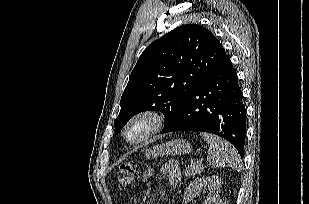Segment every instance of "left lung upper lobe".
Masks as SVG:
<instances>
[{"label": "left lung upper lobe", "mask_w": 309, "mask_h": 204, "mask_svg": "<svg viewBox=\"0 0 309 204\" xmlns=\"http://www.w3.org/2000/svg\"><path fill=\"white\" fill-rule=\"evenodd\" d=\"M225 56L216 37L197 24L177 27L151 43L139 57L122 94L115 133L134 115L147 110L161 111L166 123Z\"/></svg>", "instance_id": "1"}]
</instances>
